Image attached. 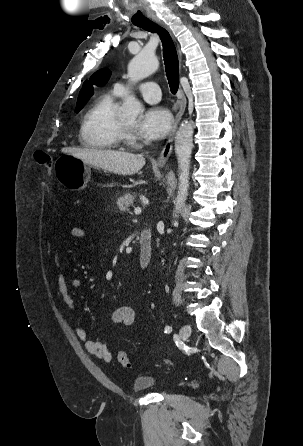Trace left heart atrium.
Here are the masks:
<instances>
[{"label":"left heart atrium","instance_id":"obj_1","mask_svg":"<svg viewBox=\"0 0 303 446\" xmlns=\"http://www.w3.org/2000/svg\"><path fill=\"white\" fill-rule=\"evenodd\" d=\"M171 124L172 117L167 109L152 107L145 111L136 129L146 139H161L167 135Z\"/></svg>","mask_w":303,"mask_h":446}]
</instances>
